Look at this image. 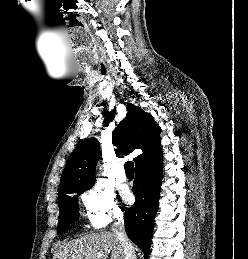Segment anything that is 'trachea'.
Masks as SVG:
<instances>
[{"mask_svg":"<svg viewBox=\"0 0 248 259\" xmlns=\"http://www.w3.org/2000/svg\"><path fill=\"white\" fill-rule=\"evenodd\" d=\"M125 173L127 175H133L134 174V163L131 161H128L124 165Z\"/></svg>","mask_w":248,"mask_h":259,"instance_id":"obj_1","label":"trachea"}]
</instances>
